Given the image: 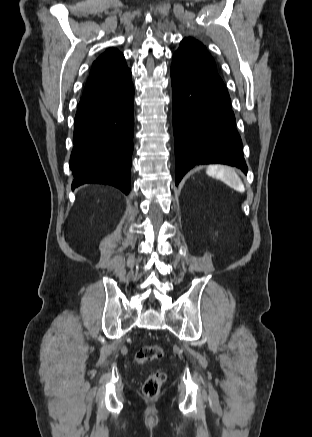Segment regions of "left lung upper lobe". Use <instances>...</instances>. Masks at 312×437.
<instances>
[{
    "instance_id": "obj_1",
    "label": "left lung upper lobe",
    "mask_w": 312,
    "mask_h": 437,
    "mask_svg": "<svg viewBox=\"0 0 312 437\" xmlns=\"http://www.w3.org/2000/svg\"><path fill=\"white\" fill-rule=\"evenodd\" d=\"M177 52L187 54L200 64L217 72L214 59L211 57L202 43L198 42L197 40L192 38L183 39Z\"/></svg>"
}]
</instances>
